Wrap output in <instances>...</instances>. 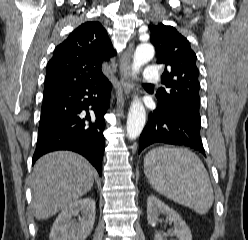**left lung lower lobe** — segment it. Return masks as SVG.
Here are the masks:
<instances>
[{"label": "left lung lower lobe", "instance_id": "obj_1", "mask_svg": "<svg viewBox=\"0 0 248 240\" xmlns=\"http://www.w3.org/2000/svg\"><path fill=\"white\" fill-rule=\"evenodd\" d=\"M201 119L195 110H167L161 107L150 113L140 135L139 153L152 144H172L192 148L205 156Z\"/></svg>", "mask_w": 248, "mask_h": 240}]
</instances>
